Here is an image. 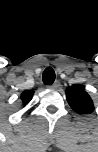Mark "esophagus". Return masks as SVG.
Instances as JSON below:
<instances>
[{
    "label": "esophagus",
    "instance_id": "1",
    "mask_svg": "<svg viewBox=\"0 0 98 152\" xmlns=\"http://www.w3.org/2000/svg\"><path fill=\"white\" fill-rule=\"evenodd\" d=\"M59 87H60L59 81H55L52 85L48 86V88H50V89H57Z\"/></svg>",
    "mask_w": 98,
    "mask_h": 152
}]
</instances>
